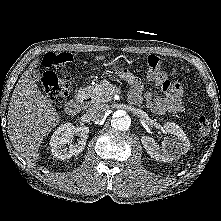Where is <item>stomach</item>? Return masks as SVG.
<instances>
[{
	"label": "stomach",
	"mask_w": 221,
	"mask_h": 221,
	"mask_svg": "<svg viewBox=\"0 0 221 221\" xmlns=\"http://www.w3.org/2000/svg\"><path fill=\"white\" fill-rule=\"evenodd\" d=\"M115 69H117V70H118V69H119V67H115Z\"/></svg>",
	"instance_id": "0dacf381"
}]
</instances>
